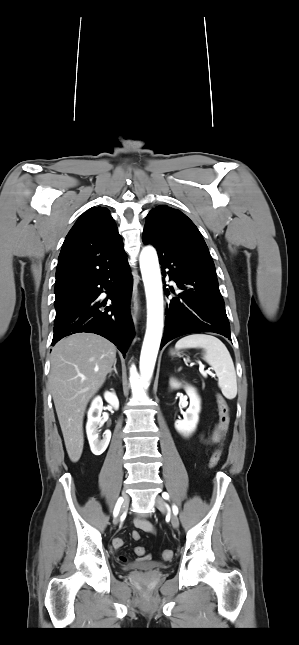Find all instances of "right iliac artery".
I'll return each instance as SVG.
<instances>
[{
	"label": "right iliac artery",
	"instance_id": "right-iliac-artery-1",
	"mask_svg": "<svg viewBox=\"0 0 299 645\" xmlns=\"http://www.w3.org/2000/svg\"><path fill=\"white\" fill-rule=\"evenodd\" d=\"M122 502H123V499H122V497H120V498L118 499L117 503H116L115 508H114V512H113V515H114V516H117V515H118L119 510H120V506H121Z\"/></svg>",
	"mask_w": 299,
	"mask_h": 645
}]
</instances>
